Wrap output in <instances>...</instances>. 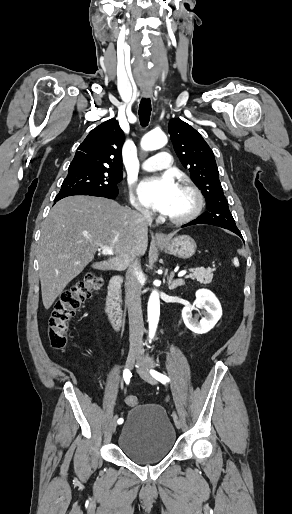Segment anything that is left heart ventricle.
<instances>
[{
	"label": "left heart ventricle",
	"mask_w": 292,
	"mask_h": 514,
	"mask_svg": "<svg viewBox=\"0 0 292 514\" xmlns=\"http://www.w3.org/2000/svg\"><path fill=\"white\" fill-rule=\"evenodd\" d=\"M192 205V196L179 188L176 199L168 213L175 216L184 215L191 209Z\"/></svg>",
	"instance_id": "obj_1"
}]
</instances>
